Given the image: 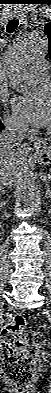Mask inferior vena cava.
I'll return each instance as SVG.
<instances>
[{"label": "inferior vena cava", "instance_id": "602c4592", "mask_svg": "<svg viewBox=\"0 0 51 393\" xmlns=\"http://www.w3.org/2000/svg\"><path fill=\"white\" fill-rule=\"evenodd\" d=\"M26 129L13 121L7 122L5 129L0 134V183L6 187H12L13 168L8 163L5 155L20 145L25 137Z\"/></svg>", "mask_w": 51, "mask_h": 393}]
</instances>
